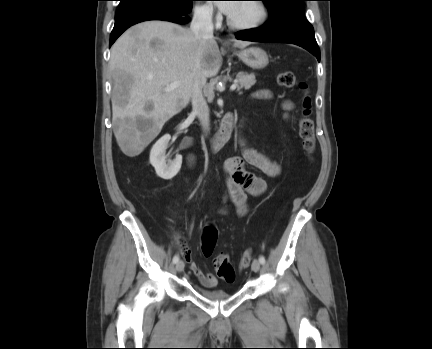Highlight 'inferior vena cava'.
<instances>
[{
    "label": "inferior vena cava",
    "instance_id": "1",
    "mask_svg": "<svg viewBox=\"0 0 432 349\" xmlns=\"http://www.w3.org/2000/svg\"><path fill=\"white\" fill-rule=\"evenodd\" d=\"M213 10L210 8H201L194 11L193 19L190 25L191 32L198 40L212 39L213 38ZM205 81L196 77L193 90H192V108L193 112L197 115L204 131L209 128V108L203 96L202 88Z\"/></svg>",
    "mask_w": 432,
    "mask_h": 349
}]
</instances>
